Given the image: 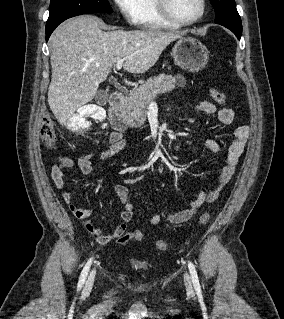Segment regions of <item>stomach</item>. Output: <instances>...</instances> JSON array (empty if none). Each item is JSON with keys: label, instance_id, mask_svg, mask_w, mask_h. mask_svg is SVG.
Instances as JSON below:
<instances>
[{"label": "stomach", "instance_id": "obj_1", "mask_svg": "<svg viewBox=\"0 0 284 319\" xmlns=\"http://www.w3.org/2000/svg\"><path fill=\"white\" fill-rule=\"evenodd\" d=\"M176 65L190 72L203 69L209 60L207 47L197 39L180 37L172 48Z\"/></svg>", "mask_w": 284, "mask_h": 319}]
</instances>
